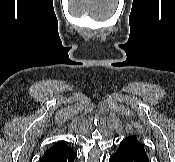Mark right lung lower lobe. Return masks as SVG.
<instances>
[{"instance_id": "98d812e1", "label": "right lung lower lobe", "mask_w": 175, "mask_h": 162, "mask_svg": "<svg viewBox=\"0 0 175 162\" xmlns=\"http://www.w3.org/2000/svg\"><path fill=\"white\" fill-rule=\"evenodd\" d=\"M76 154L70 147H60L56 149L47 150L40 162H74Z\"/></svg>"}]
</instances>
